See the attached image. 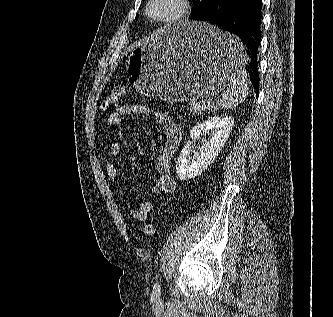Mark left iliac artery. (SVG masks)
Returning <instances> with one entry per match:
<instances>
[{
	"instance_id": "1",
	"label": "left iliac artery",
	"mask_w": 333,
	"mask_h": 317,
	"mask_svg": "<svg viewBox=\"0 0 333 317\" xmlns=\"http://www.w3.org/2000/svg\"><path fill=\"white\" fill-rule=\"evenodd\" d=\"M153 293H154L155 295H160V293H161V285H160L159 282H156V283L154 284V286H153Z\"/></svg>"
}]
</instances>
